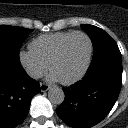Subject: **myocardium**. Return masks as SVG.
Masks as SVG:
<instances>
[{
    "mask_svg": "<svg viewBox=\"0 0 128 128\" xmlns=\"http://www.w3.org/2000/svg\"><path fill=\"white\" fill-rule=\"evenodd\" d=\"M76 35H81V36H84L87 41H88V46H89V49H88V56H87V59H86V62L83 66V68L81 69V71L75 75L73 78L71 79H68V80H58L61 84L63 85H72L76 82H78L79 80H81L84 75L86 74V72L88 71L89 67H90V64H91V61H92V56H93V42H92V39L91 37L89 36V34H87L86 32L84 31H73L69 36H67L62 42L61 44L59 45L56 53L54 54L53 58L51 59L50 63H49V70L50 72H52L53 70V67L54 65L59 61V59L61 58L62 54H63V51H64V48L67 44V42L73 37V36H76Z\"/></svg>",
    "mask_w": 128,
    "mask_h": 128,
    "instance_id": "f54148a6",
    "label": "myocardium"
}]
</instances>
